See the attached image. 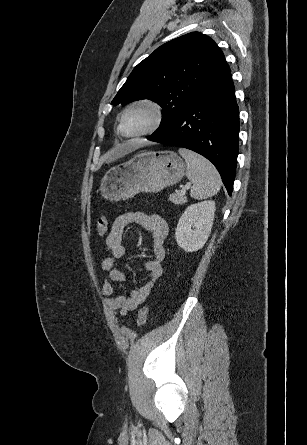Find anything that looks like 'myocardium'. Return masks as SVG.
I'll list each match as a JSON object with an SVG mask.
<instances>
[{
    "mask_svg": "<svg viewBox=\"0 0 307 445\" xmlns=\"http://www.w3.org/2000/svg\"><path fill=\"white\" fill-rule=\"evenodd\" d=\"M137 105H147V106L151 107L155 113V120H154L153 125L151 127H149L148 129L134 133V134H128V133H126L125 128H124V120H125L128 110L134 106H137ZM165 120H166V112H165V109L161 103H159L158 101H156L154 99L141 98V99L131 102L123 110L121 119H120V124H119L120 132L123 136H125L127 138L146 136V135H149V134L159 131L163 127Z\"/></svg>",
    "mask_w": 307,
    "mask_h": 445,
    "instance_id": "1",
    "label": "myocardium"
}]
</instances>
